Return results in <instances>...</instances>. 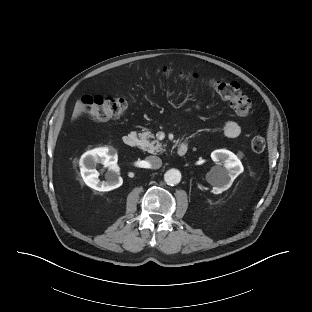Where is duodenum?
Wrapping results in <instances>:
<instances>
[{"instance_id":"duodenum-1","label":"duodenum","mask_w":312,"mask_h":312,"mask_svg":"<svg viewBox=\"0 0 312 312\" xmlns=\"http://www.w3.org/2000/svg\"><path fill=\"white\" fill-rule=\"evenodd\" d=\"M123 143L127 147H135L138 143V137L136 134L129 133L123 137ZM188 144L182 143L177 147V154L180 156H184L188 151Z\"/></svg>"}]
</instances>
